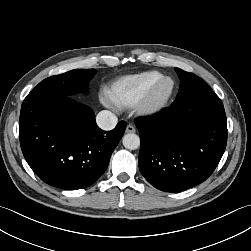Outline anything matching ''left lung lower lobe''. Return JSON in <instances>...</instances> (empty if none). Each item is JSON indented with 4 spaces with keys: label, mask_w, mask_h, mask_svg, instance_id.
<instances>
[{
    "label": "left lung lower lobe",
    "mask_w": 251,
    "mask_h": 251,
    "mask_svg": "<svg viewBox=\"0 0 251 251\" xmlns=\"http://www.w3.org/2000/svg\"><path fill=\"white\" fill-rule=\"evenodd\" d=\"M135 125L140 172L161 191L179 192L204 182L226 148L224 106L206 83L179 92L170 107L135 119Z\"/></svg>",
    "instance_id": "1"
}]
</instances>
